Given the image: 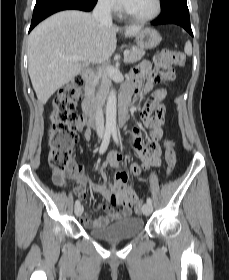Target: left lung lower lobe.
<instances>
[{"instance_id":"0a47b994","label":"left lung lower lobe","mask_w":229,"mask_h":280,"mask_svg":"<svg viewBox=\"0 0 229 280\" xmlns=\"http://www.w3.org/2000/svg\"><path fill=\"white\" fill-rule=\"evenodd\" d=\"M151 23L153 25L177 24L193 36L186 0H172L170 3L162 7L161 15Z\"/></svg>"}]
</instances>
